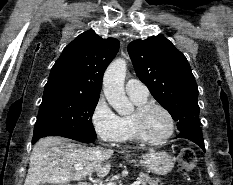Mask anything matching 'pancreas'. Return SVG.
Returning a JSON list of instances; mask_svg holds the SVG:
<instances>
[{
  "instance_id": "1",
  "label": "pancreas",
  "mask_w": 233,
  "mask_h": 185,
  "mask_svg": "<svg viewBox=\"0 0 233 185\" xmlns=\"http://www.w3.org/2000/svg\"><path fill=\"white\" fill-rule=\"evenodd\" d=\"M138 181L141 183V185H162L158 178L150 177L148 174H141Z\"/></svg>"
}]
</instances>
